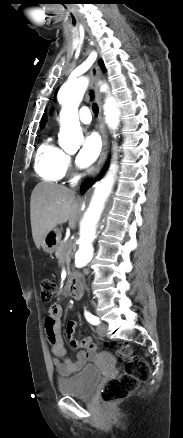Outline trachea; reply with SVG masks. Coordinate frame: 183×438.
I'll use <instances>...</instances> for the list:
<instances>
[{"mask_svg":"<svg viewBox=\"0 0 183 438\" xmlns=\"http://www.w3.org/2000/svg\"><path fill=\"white\" fill-rule=\"evenodd\" d=\"M92 95V94H91ZM92 111L95 114V116H98L99 107L96 104L92 105Z\"/></svg>","mask_w":183,"mask_h":438,"instance_id":"obj_1","label":"trachea"}]
</instances>
